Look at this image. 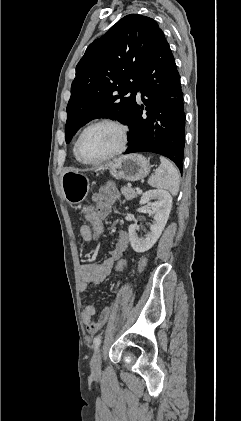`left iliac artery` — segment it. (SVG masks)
<instances>
[{
  "label": "left iliac artery",
  "mask_w": 241,
  "mask_h": 421,
  "mask_svg": "<svg viewBox=\"0 0 241 421\" xmlns=\"http://www.w3.org/2000/svg\"><path fill=\"white\" fill-rule=\"evenodd\" d=\"M93 344H94V348H95V349H98V347H99V346H100V344H101V337H100V336H97V337L94 339Z\"/></svg>",
  "instance_id": "obj_1"
}]
</instances>
